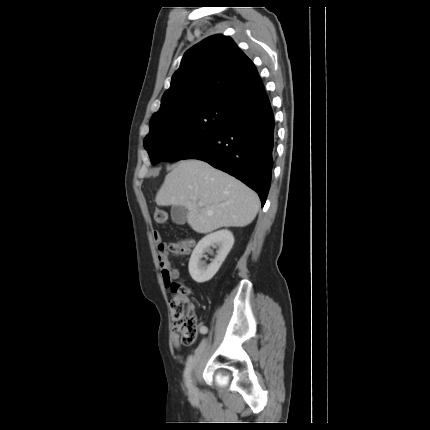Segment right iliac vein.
<instances>
[{
    "instance_id": "obj_1",
    "label": "right iliac vein",
    "mask_w": 430,
    "mask_h": 430,
    "mask_svg": "<svg viewBox=\"0 0 430 430\" xmlns=\"http://www.w3.org/2000/svg\"><path fill=\"white\" fill-rule=\"evenodd\" d=\"M205 345H206L205 342H201L199 344V346L197 347V349L195 351L193 360H192L191 376H190L191 386L189 388L191 398H196L198 396V390H197V387L195 386V382H194V373H195V371L198 367V364L201 360L202 354H203L204 349H205Z\"/></svg>"
}]
</instances>
